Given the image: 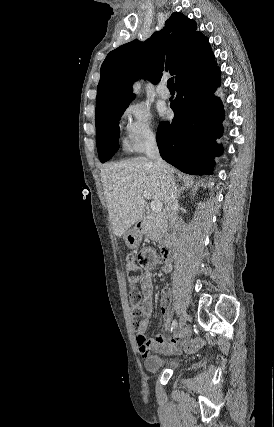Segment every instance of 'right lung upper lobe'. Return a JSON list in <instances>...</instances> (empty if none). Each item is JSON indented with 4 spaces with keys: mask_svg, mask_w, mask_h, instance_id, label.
Masks as SVG:
<instances>
[{
    "mask_svg": "<svg viewBox=\"0 0 274 427\" xmlns=\"http://www.w3.org/2000/svg\"><path fill=\"white\" fill-rule=\"evenodd\" d=\"M208 39L196 31V22L175 12L165 27L145 42L134 40L111 51L101 66L96 113L130 97L132 83L148 77L157 84L167 70L175 84L189 72L214 62Z\"/></svg>",
    "mask_w": 274,
    "mask_h": 427,
    "instance_id": "right-lung-upper-lobe-1",
    "label": "right lung upper lobe"
}]
</instances>
